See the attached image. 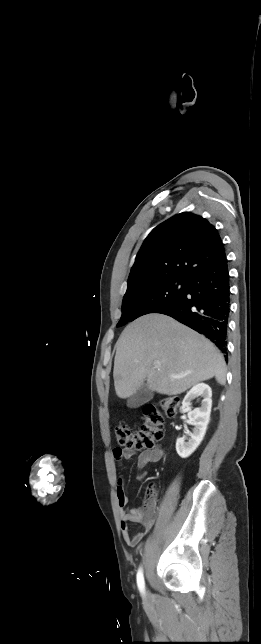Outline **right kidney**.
<instances>
[{"instance_id": "ca27d5eb", "label": "right kidney", "mask_w": 261, "mask_h": 644, "mask_svg": "<svg viewBox=\"0 0 261 644\" xmlns=\"http://www.w3.org/2000/svg\"><path fill=\"white\" fill-rule=\"evenodd\" d=\"M203 398L201 406L191 410V401L196 397ZM212 390L204 383L195 385L184 397L182 408L188 412V418L194 426L192 432L185 431L181 438L176 441V451L181 458L189 457L200 445L207 430V425L210 420V413L212 407ZM189 436V438L187 437ZM187 440V441H186Z\"/></svg>"}]
</instances>
